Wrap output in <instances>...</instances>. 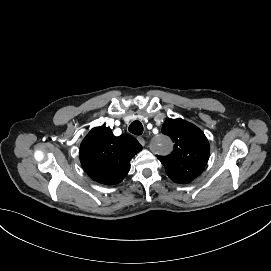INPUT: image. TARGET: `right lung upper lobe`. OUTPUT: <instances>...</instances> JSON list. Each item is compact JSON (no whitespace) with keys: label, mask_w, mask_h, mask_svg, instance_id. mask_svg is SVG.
<instances>
[{"label":"right lung upper lobe","mask_w":271,"mask_h":271,"mask_svg":"<svg viewBox=\"0 0 271 271\" xmlns=\"http://www.w3.org/2000/svg\"><path fill=\"white\" fill-rule=\"evenodd\" d=\"M142 146L131 135L116 137L107 127H96L80 146V161L86 173L95 181L114 185L130 170L131 158Z\"/></svg>","instance_id":"1"}]
</instances>
